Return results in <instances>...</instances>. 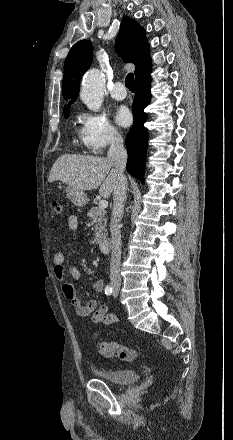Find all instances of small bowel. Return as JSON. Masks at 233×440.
<instances>
[{
  "label": "small bowel",
  "instance_id": "small-bowel-1",
  "mask_svg": "<svg viewBox=\"0 0 233 440\" xmlns=\"http://www.w3.org/2000/svg\"><path fill=\"white\" fill-rule=\"evenodd\" d=\"M78 226V219L75 214L68 216V228L71 232L76 231ZM54 273L58 281L62 284V292L66 300L71 304L74 312L79 317L91 316L92 324L112 325L118 323L119 319L114 314H108V305L104 302L98 303L96 299H91L87 302H82L77 296L74 287L66 280V274L78 281L81 279V272L73 265L65 264L64 251H58L53 256ZM92 288L96 292H102L104 283L101 279L95 278L92 281Z\"/></svg>",
  "mask_w": 233,
  "mask_h": 440
}]
</instances>
